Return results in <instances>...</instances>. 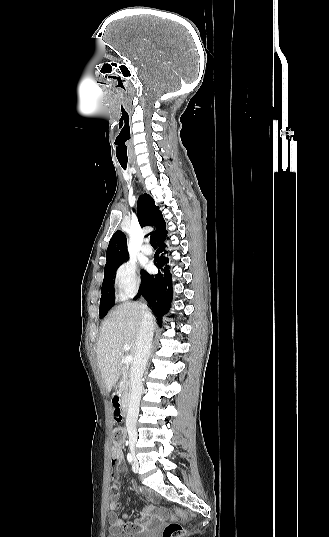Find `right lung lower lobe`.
Listing matches in <instances>:
<instances>
[{"label": "right lung lower lobe", "instance_id": "obj_1", "mask_svg": "<svg viewBox=\"0 0 329 537\" xmlns=\"http://www.w3.org/2000/svg\"><path fill=\"white\" fill-rule=\"evenodd\" d=\"M166 232L157 239L158 250L155 253L154 264L159 269L158 274L150 275L141 271V285L135 299L144 295L153 314L162 323V316L167 314L173 297L172 275L169 272L168 258H165Z\"/></svg>", "mask_w": 329, "mask_h": 537}]
</instances>
